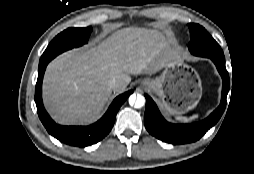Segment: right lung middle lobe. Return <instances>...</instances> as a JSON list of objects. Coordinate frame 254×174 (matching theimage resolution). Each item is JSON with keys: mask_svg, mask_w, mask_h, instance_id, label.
<instances>
[{"mask_svg": "<svg viewBox=\"0 0 254 174\" xmlns=\"http://www.w3.org/2000/svg\"><path fill=\"white\" fill-rule=\"evenodd\" d=\"M91 27L87 28H68L58 34L48 45L45 52L42 54L39 67L45 63H49L60 53L69 50L73 47L81 46L88 42Z\"/></svg>", "mask_w": 254, "mask_h": 174, "instance_id": "1", "label": "right lung middle lobe"}]
</instances>
